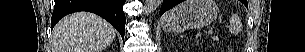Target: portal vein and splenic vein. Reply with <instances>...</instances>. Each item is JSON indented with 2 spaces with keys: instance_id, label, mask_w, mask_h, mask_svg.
<instances>
[{
  "instance_id": "portal-vein-and-splenic-vein-1",
  "label": "portal vein and splenic vein",
  "mask_w": 305,
  "mask_h": 52,
  "mask_svg": "<svg viewBox=\"0 0 305 52\" xmlns=\"http://www.w3.org/2000/svg\"><path fill=\"white\" fill-rule=\"evenodd\" d=\"M212 33H213L212 31H209V32H208V34H210V35H211Z\"/></svg>"
}]
</instances>
